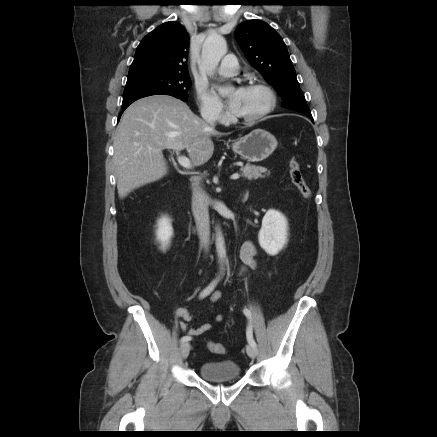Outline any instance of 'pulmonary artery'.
<instances>
[{
    "instance_id": "pulmonary-artery-1",
    "label": "pulmonary artery",
    "mask_w": 437,
    "mask_h": 437,
    "mask_svg": "<svg viewBox=\"0 0 437 437\" xmlns=\"http://www.w3.org/2000/svg\"><path fill=\"white\" fill-rule=\"evenodd\" d=\"M217 72L225 77L236 75L238 72V62L236 57L233 54L226 55L218 67Z\"/></svg>"
}]
</instances>
